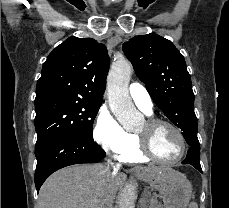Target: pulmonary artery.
Masks as SVG:
<instances>
[{
    "mask_svg": "<svg viewBox=\"0 0 229 208\" xmlns=\"http://www.w3.org/2000/svg\"><path fill=\"white\" fill-rule=\"evenodd\" d=\"M136 106L145 114L153 112V102L146 88L138 82L132 83L128 90Z\"/></svg>",
    "mask_w": 229,
    "mask_h": 208,
    "instance_id": "1",
    "label": "pulmonary artery"
}]
</instances>
